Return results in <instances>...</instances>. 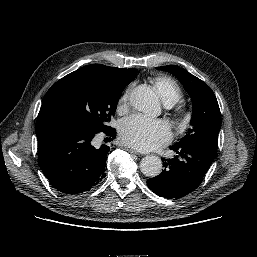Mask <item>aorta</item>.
I'll use <instances>...</instances> for the list:
<instances>
[{
    "mask_svg": "<svg viewBox=\"0 0 257 257\" xmlns=\"http://www.w3.org/2000/svg\"><path fill=\"white\" fill-rule=\"evenodd\" d=\"M131 105L138 111L154 115L160 109L156 93L146 85H139L130 94ZM141 172L147 177L158 176L162 171V161L158 156L147 155L140 163Z\"/></svg>",
    "mask_w": 257,
    "mask_h": 257,
    "instance_id": "obj_1",
    "label": "aorta"
}]
</instances>
